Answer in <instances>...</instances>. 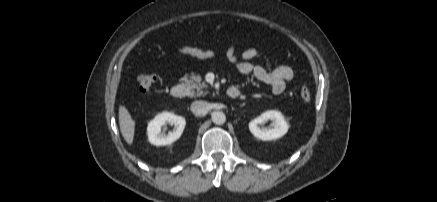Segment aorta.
I'll return each mask as SVG.
<instances>
[{
  "label": "aorta",
  "mask_w": 437,
  "mask_h": 202,
  "mask_svg": "<svg viewBox=\"0 0 437 202\" xmlns=\"http://www.w3.org/2000/svg\"><path fill=\"white\" fill-rule=\"evenodd\" d=\"M211 119H212L214 124L222 125L226 121V116H225V114L222 111H214L211 114Z\"/></svg>",
  "instance_id": "762f6f07"
}]
</instances>
